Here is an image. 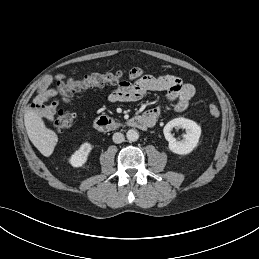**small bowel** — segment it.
Returning <instances> with one entry per match:
<instances>
[{
  "mask_svg": "<svg viewBox=\"0 0 259 259\" xmlns=\"http://www.w3.org/2000/svg\"><path fill=\"white\" fill-rule=\"evenodd\" d=\"M66 79L65 74H57L55 80ZM165 91V100L173 103V108L177 112L185 111L195 94L192 84L183 81L173 74H145L141 68H132L129 72V81H123L115 88L111 89L108 97L112 102H134L142 99L148 92ZM51 103L45 105L47 101ZM58 108L57 92L49 88V80H45L40 85L36 96L30 104V112L36 114L41 119L53 122ZM161 114V106L152 108L144 115L157 120Z\"/></svg>",
  "mask_w": 259,
  "mask_h": 259,
  "instance_id": "c3829d8e",
  "label": "small bowel"
}]
</instances>
